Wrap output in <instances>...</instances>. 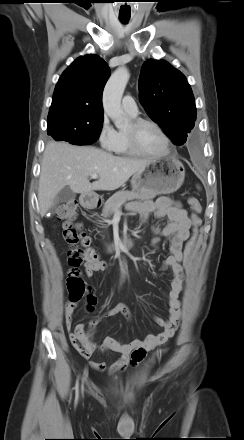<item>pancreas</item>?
I'll return each mask as SVG.
<instances>
[{
    "label": "pancreas",
    "instance_id": "obj_1",
    "mask_svg": "<svg viewBox=\"0 0 244 440\" xmlns=\"http://www.w3.org/2000/svg\"><path fill=\"white\" fill-rule=\"evenodd\" d=\"M154 197L155 196L153 195L140 194L134 191H119L106 201L102 210V216L105 218L110 217L117 210V208L126 201L134 199L138 201H150Z\"/></svg>",
    "mask_w": 244,
    "mask_h": 440
}]
</instances>
